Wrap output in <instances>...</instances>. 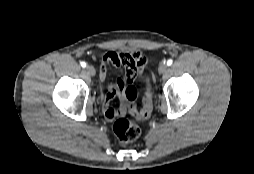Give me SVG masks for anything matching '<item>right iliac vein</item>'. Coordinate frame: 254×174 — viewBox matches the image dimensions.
<instances>
[{"label":"right iliac vein","instance_id":"1","mask_svg":"<svg viewBox=\"0 0 254 174\" xmlns=\"http://www.w3.org/2000/svg\"><path fill=\"white\" fill-rule=\"evenodd\" d=\"M85 71H86L90 76H95L96 71H95V69H94L93 66H91V65L86 66Z\"/></svg>","mask_w":254,"mask_h":174}]
</instances>
